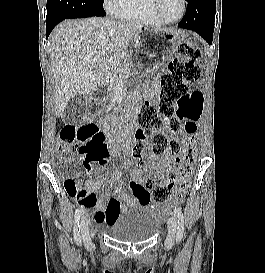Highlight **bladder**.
I'll use <instances>...</instances> for the list:
<instances>
[{
	"mask_svg": "<svg viewBox=\"0 0 265 273\" xmlns=\"http://www.w3.org/2000/svg\"><path fill=\"white\" fill-rule=\"evenodd\" d=\"M160 221L159 214L152 208L137 204L123 209L105 229L110 237L120 242H145L158 232Z\"/></svg>",
	"mask_w": 265,
	"mask_h": 273,
	"instance_id": "obj_1",
	"label": "bladder"
}]
</instances>
